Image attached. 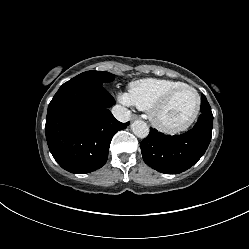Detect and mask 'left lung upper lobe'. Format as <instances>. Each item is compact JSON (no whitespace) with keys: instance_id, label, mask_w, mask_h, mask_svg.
I'll return each mask as SVG.
<instances>
[{"instance_id":"5c2ea615","label":"left lung upper lobe","mask_w":249,"mask_h":249,"mask_svg":"<svg viewBox=\"0 0 249 249\" xmlns=\"http://www.w3.org/2000/svg\"><path fill=\"white\" fill-rule=\"evenodd\" d=\"M201 112L202 113L211 112L210 105L207 102V99H206V97L204 95L201 96Z\"/></svg>"}]
</instances>
